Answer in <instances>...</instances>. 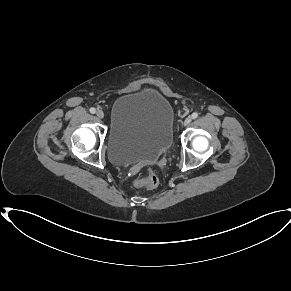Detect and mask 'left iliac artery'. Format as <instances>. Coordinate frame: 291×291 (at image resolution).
<instances>
[{"label": "left iliac artery", "mask_w": 291, "mask_h": 291, "mask_svg": "<svg viewBox=\"0 0 291 291\" xmlns=\"http://www.w3.org/2000/svg\"><path fill=\"white\" fill-rule=\"evenodd\" d=\"M198 117V113L197 112H194L193 114H192V118L193 119H196Z\"/></svg>", "instance_id": "44dca946"}]
</instances>
